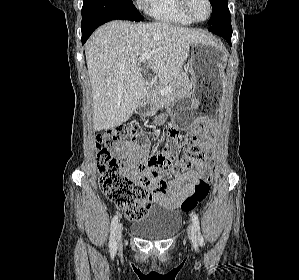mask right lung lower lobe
Instances as JSON below:
<instances>
[{"instance_id":"1","label":"right lung lower lobe","mask_w":299,"mask_h":280,"mask_svg":"<svg viewBox=\"0 0 299 280\" xmlns=\"http://www.w3.org/2000/svg\"><path fill=\"white\" fill-rule=\"evenodd\" d=\"M142 21L116 0H83L82 7V44L100 25L111 20Z\"/></svg>"}]
</instances>
